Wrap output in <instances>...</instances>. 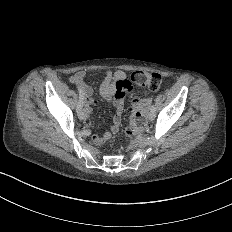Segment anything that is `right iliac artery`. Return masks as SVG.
<instances>
[{
    "mask_svg": "<svg viewBox=\"0 0 232 232\" xmlns=\"http://www.w3.org/2000/svg\"><path fill=\"white\" fill-rule=\"evenodd\" d=\"M77 90L79 91V93L81 94L82 93V91H81V88L79 87V86H77ZM83 97L81 96L80 97V100H79V102H78V104H77V106H76V111L78 112L81 108H82V106H83Z\"/></svg>",
    "mask_w": 232,
    "mask_h": 232,
    "instance_id": "82829eb1",
    "label": "right iliac artery"
}]
</instances>
